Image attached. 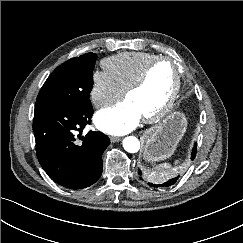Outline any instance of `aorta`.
Segmentation results:
<instances>
[{
	"label": "aorta",
	"instance_id": "aorta-1",
	"mask_svg": "<svg viewBox=\"0 0 243 243\" xmlns=\"http://www.w3.org/2000/svg\"><path fill=\"white\" fill-rule=\"evenodd\" d=\"M123 147L129 153H136L140 149V142L134 136H128L123 140Z\"/></svg>",
	"mask_w": 243,
	"mask_h": 243
}]
</instances>
